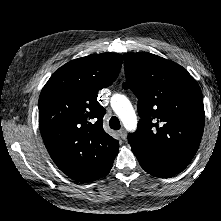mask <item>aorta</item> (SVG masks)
<instances>
[{
    "label": "aorta",
    "instance_id": "aorta-1",
    "mask_svg": "<svg viewBox=\"0 0 221 221\" xmlns=\"http://www.w3.org/2000/svg\"><path fill=\"white\" fill-rule=\"evenodd\" d=\"M111 107L128 131H134L137 117L129 99L122 94H114L110 100Z\"/></svg>",
    "mask_w": 221,
    "mask_h": 221
}]
</instances>
